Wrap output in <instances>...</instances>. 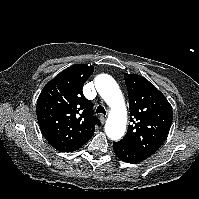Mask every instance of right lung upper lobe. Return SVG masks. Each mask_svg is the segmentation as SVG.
<instances>
[{
	"label": "right lung upper lobe",
	"mask_w": 199,
	"mask_h": 199,
	"mask_svg": "<svg viewBox=\"0 0 199 199\" xmlns=\"http://www.w3.org/2000/svg\"><path fill=\"white\" fill-rule=\"evenodd\" d=\"M93 71V66L74 64L48 82L38 97L36 113L41 132L58 151L82 147L100 125L92 102L82 93Z\"/></svg>",
	"instance_id": "cb5924a9"
}]
</instances>
